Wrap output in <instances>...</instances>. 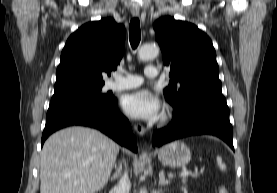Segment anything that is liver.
Segmentation results:
<instances>
[{"label":"liver","instance_id":"6515ba94","mask_svg":"<svg viewBox=\"0 0 277 193\" xmlns=\"http://www.w3.org/2000/svg\"><path fill=\"white\" fill-rule=\"evenodd\" d=\"M119 145L98 130L74 126L51 135L40 160V193H96L108 182Z\"/></svg>","mask_w":277,"mask_h":193}]
</instances>
